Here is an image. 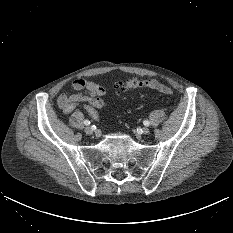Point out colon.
Returning <instances> with one entry per match:
<instances>
[{
	"instance_id": "colon-1",
	"label": "colon",
	"mask_w": 233,
	"mask_h": 233,
	"mask_svg": "<svg viewBox=\"0 0 233 233\" xmlns=\"http://www.w3.org/2000/svg\"><path fill=\"white\" fill-rule=\"evenodd\" d=\"M138 88L153 89L167 95L172 94V91L168 86L157 80H140L137 78H131L125 82H119L116 84V90L119 93Z\"/></svg>"
}]
</instances>
